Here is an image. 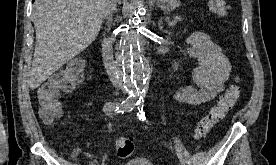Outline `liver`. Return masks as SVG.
<instances>
[{
	"label": "liver",
	"instance_id": "liver-1",
	"mask_svg": "<svg viewBox=\"0 0 276 165\" xmlns=\"http://www.w3.org/2000/svg\"><path fill=\"white\" fill-rule=\"evenodd\" d=\"M104 2L105 0L35 1L33 22L36 44L28 80L32 90L96 39L104 18Z\"/></svg>",
	"mask_w": 276,
	"mask_h": 165
}]
</instances>
